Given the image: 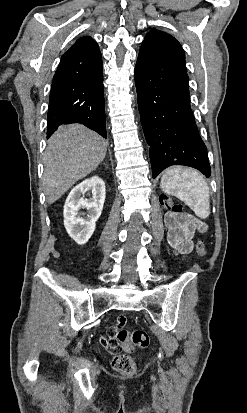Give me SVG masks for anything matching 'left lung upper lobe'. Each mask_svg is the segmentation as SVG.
Returning <instances> with one entry per match:
<instances>
[{"mask_svg":"<svg viewBox=\"0 0 247 413\" xmlns=\"http://www.w3.org/2000/svg\"><path fill=\"white\" fill-rule=\"evenodd\" d=\"M141 49L152 51L186 69L183 48L174 37L165 32L151 30L146 34Z\"/></svg>","mask_w":247,"mask_h":413,"instance_id":"obj_1","label":"left lung upper lobe"}]
</instances>
